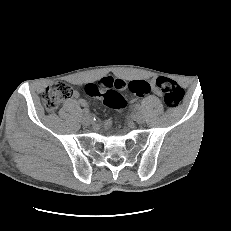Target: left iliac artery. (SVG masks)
<instances>
[{"label":"left iliac artery","mask_w":231,"mask_h":231,"mask_svg":"<svg viewBox=\"0 0 231 231\" xmlns=\"http://www.w3.org/2000/svg\"><path fill=\"white\" fill-rule=\"evenodd\" d=\"M141 110V105L140 104H135L134 106H133V111L134 112H139Z\"/></svg>","instance_id":"obj_1"}]
</instances>
